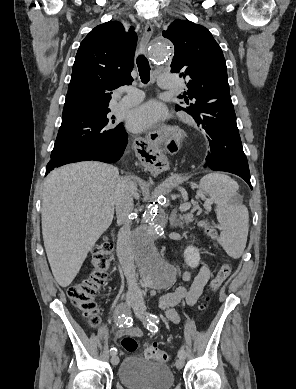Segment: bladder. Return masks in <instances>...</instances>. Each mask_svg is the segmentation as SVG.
Returning <instances> with one entry per match:
<instances>
[{"mask_svg":"<svg viewBox=\"0 0 296 389\" xmlns=\"http://www.w3.org/2000/svg\"><path fill=\"white\" fill-rule=\"evenodd\" d=\"M118 379L127 389H171L174 375L163 364L129 355L118 368Z\"/></svg>","mask_w":296,"mask_h":389,"instance_id":"1","label":"bladder"}]
</instances>
